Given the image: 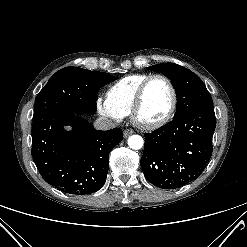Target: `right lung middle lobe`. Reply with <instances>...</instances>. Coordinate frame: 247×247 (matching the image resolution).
I'll list each match as a JSON object with an SVG mask.
<instances>
[{
	"label": "right lung middle lobe",
	"mask_w": 247,
	"mask_h": 247,
	"mask_svg": "<svg viewBox=\"0 0 247 247\" xmlns=\"http://www.w3.org/2000/svg\"><path fill=\"white\" fill-rule=\"evenodd\" d=\"M114 80V76L99 71L63 68L49 79L37 95L34 117L58 109L94 114L99 89Z\"/></svg>",
	"instance_id": "1"
}]
</instances>
